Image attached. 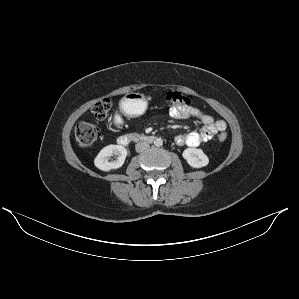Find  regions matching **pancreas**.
Masks as SVG:
<instances>
[{
    "instance_id": "pancreas-1",
    "label": "pancreas",
    "mask_w": 299,
    "mask_h": 299,
    "mask_svg": "<svg viewBox=\"0 0 299 299\" xmlns=\"http://www.w3.org/2000/svg\"><path fill=\"white\" fill-rule=\"evenodd\" d=\"M138 137V134H134V139H136Z\"/></svg>"
}]
</instances>
